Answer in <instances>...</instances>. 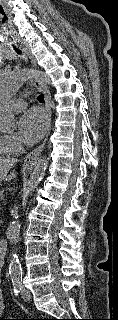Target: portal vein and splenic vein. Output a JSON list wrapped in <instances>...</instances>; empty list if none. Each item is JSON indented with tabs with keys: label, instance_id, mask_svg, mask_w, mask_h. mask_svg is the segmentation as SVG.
Listing matches in <instances>:
<instances>
[{
	"label": "portal vein and splenic vein",
	"instance_id": "1",
	"mask_svg": "<svg viewBox=\"0 0 118 320\" xmlns=\"http://www.w3.org/2000/svg\"><path fill=\"white\" fill-rule=\"evenodd\" d=\"M4 198V195H3V191L0 192V199L2 200Z\"/></svg>",
	"mask_w": 118,
	"mask_h": 320
}]
</instances>
